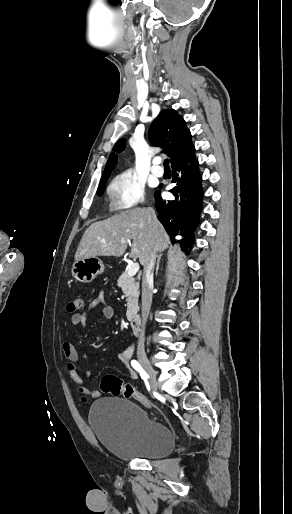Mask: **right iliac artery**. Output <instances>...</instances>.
Returning <instances> with one entry per match:
<instances>
[{
    "label": "right iliac artery",
    "mask_w": 292,
    "mask_h": 514,
    "mask_svg": "<svg viewBox=\"0 0 292 514\" xmlns=\"http://www.w3.org/2000/svg\"><path fill=\"white\" fill-rule=\"evenodd\" d=\"M131 365L140 374L141 378L144 380L146 384L147 389L150 391V386L147 380L148 374L144 371V369L141 367L138 361L132 360Z\"/></svg>",
    "instance_id": "right-iliac-artery-1"
}]
</instances>
